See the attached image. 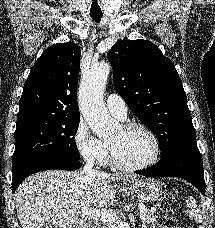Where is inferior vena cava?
Segmentation results:
<instances>
[{
	"mask_svg": "<svg viewBox=\"0 0 215 228\" xmlns=\"http://www.w3.org/2000/svg\"><path fill=\"white\" fill-rule=\"evenodd\" d=\"M94 164H95L94 158H89L81 174H83V176H86V178H94V176H102L103 172H98V170H94Z\"/></svg>",
	"mask_w": 215,
	"mask_h": 228,
	"instance_id": "obj_1",
	"label": "inferior vena cava"
}]
</instances>
